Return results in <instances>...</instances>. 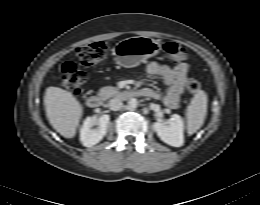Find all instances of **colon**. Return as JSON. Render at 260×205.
Segmentation results:
<instances>
[{"instance_id": "obj_1", "label": "colon", "mask_w": 260, "mask_h": 205, "mask_svg": "<svg viewBox=\"0 0 260 205\" xmlns=\"http://www.w3.org/2000/svg\"><path fill=\"white\" fill-rule=\"evenodd\" d=\"M164 51L172 63H180L187 58V50L184 46L169 41L164 45ZM76 54L85 66H96L102 62L107 55V45L105 42H93L79 46ZM86 76L73 62H66L62 66V85L72 93L81 92ZM187 89L191 94L200 91L201 85L197 80L191 79L187 83Z\"/></svg>"}]
</instances>
